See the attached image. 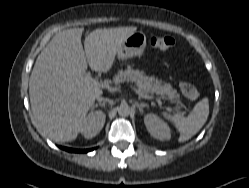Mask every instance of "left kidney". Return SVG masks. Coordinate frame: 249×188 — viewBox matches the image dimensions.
Listing matches in <instances>:
<instances>
[{"label": "left kidney", "mask_w": 249, "mask_h": 188, "mask_svg": "<svg viewBox=\"0 0 249 188\" xmlns=\"http://www.w3.org/2000/svg\"><path fill=\"white\" fill-rule=\"evenodd\" d=\"M145 126L150 135L159 140H169L171 130L169 126L155 114H147L144 118Z\"/></svg>", "instance_id": "1"}]
</instances>
